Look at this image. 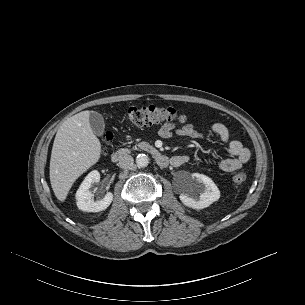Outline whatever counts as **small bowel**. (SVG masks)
Returning <instances> with one entry per match:
<instances>
[{"mask_svg":"<svg viewBox=\"0 0 305 305\" xmlns=\"http://www.w3.org/2000/svg\"><path fill=\"white\" fill-rule=\"evenodd\" d=\"M212 132L219 141L227 146L232 158L224 159L220 163V169L224 172H234L240 169L250 159V151L238 140H231L228 128L222 123H214L211 126ZM160 137L168 139L173 136L189 137L192 139H202L203 133L198 127L192 124L177 126L176 123H165L158 130ZM190 160L188 155H176L171 158L173 166H181Z\"/></svg>","mask_w":305,"mask_h":305,"instance_id":"obj_1","label":"small bowel"}]
</instances>
